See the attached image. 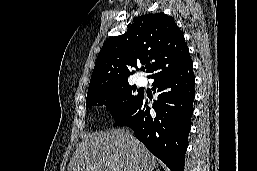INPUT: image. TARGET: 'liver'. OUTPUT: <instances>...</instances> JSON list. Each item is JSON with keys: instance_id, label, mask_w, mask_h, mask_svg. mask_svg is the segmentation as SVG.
<instances>
[{"instance_id": "obj_1", "label": "liver", "mask_w": 257, "mask_h": 171, "mask_svg": "<svg viewBox=\"0 0 257 171\" xmlns=\"http://www.w3.org/2000/svg\"><path fill=\"white\" fill-rule=\"evenodd\" d=\"M154 171L155 157L131 134L120 129L84 135L67 171Z\"/></svg>"}]
</instances>
